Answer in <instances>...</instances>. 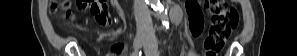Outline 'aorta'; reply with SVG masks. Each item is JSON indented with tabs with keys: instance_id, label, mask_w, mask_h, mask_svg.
Here are the masks:
<instances>
[{
	"instance_id": "1",
	"label": "aorta",
	"mask_w": 297,
	"mask_h": 56,
	"mask_svg": "<svg viewBox=\"0 0 297 56\" xmlns=\"http://www.w3.org/2000/svg\"><path fill=\"white\" fill-rule=\"evenodd\" d=\"M150 2L158 17L165 25H167V13L164 10L163 5L160 3V0H150Z\"/></svg>"
}]
</instances>
